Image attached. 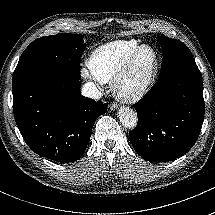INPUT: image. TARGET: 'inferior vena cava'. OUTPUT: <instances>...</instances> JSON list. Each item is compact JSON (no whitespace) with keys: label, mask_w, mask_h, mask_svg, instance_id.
<instances>
[{"label":"inferior vena cava","mask_w":215,"mask_h":215,"mask_svg":"<svg viewBox=\"0 0 215 215\" xmlns=\"http://www.w3.org/2000/svg\"><path fill=\"white\" fill-rule=\"evenodd\" d=\"M81 95L95 100H98L102 97L101 91L93 82H86L83 85L81 88Z\"/></svg>","instance_id":"inferior-vena-cava-1"}]
</instances>
